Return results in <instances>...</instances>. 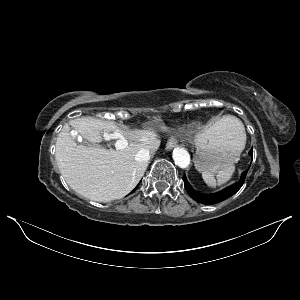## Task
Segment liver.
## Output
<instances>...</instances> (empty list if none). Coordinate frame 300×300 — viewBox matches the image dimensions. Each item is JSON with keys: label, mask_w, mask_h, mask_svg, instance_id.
<instances>
[{"label": "liver", "mask_w": 300, "mask_h": 300, "mask_svg": "<svg viewBox=\"0 0 300 300\" xmlns=\"http://www.w3.org/2000/svg\"><path fill=\"white\" fill-rule=\"evenodd\" d=\"M70 125L93 143L102 140L101 134L104 138H112L111 133H119L129 144L116 150L78 144L66 124L57 137L55 158L68 185L78 194L97 202H109L130 193L147 167V162H137L135 155L141 149L154 152L158 140L156 132L152 129L128 131L113 122L86 117L71 120ZM204 132L197 137L204 136Z\"/></svg>", "instance_id": "1"}]
</instances>
